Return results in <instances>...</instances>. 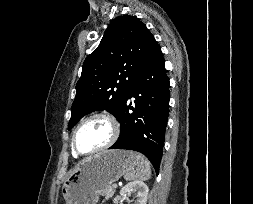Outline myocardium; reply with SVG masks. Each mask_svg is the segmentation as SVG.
Wrapping results in <instances>:
<instances>
[{
    "label": "myocardium",
    "mask_w": 253,
    "mask_h": 204,
    "mask_svg": "<svg viewBox=\"0 0 253 204\" xmlns=\"http://www.w3.org/2000/svg\"><path fill=\"white\" fill-rule=\"evenodd\" d=\"M96 118H101L106 120L111 128H112V134L110 139L108 140L107 143H105L103 146L91 150L89 152H81L76 145V136H77V132L78 130L88 121L96 119ZM120 134V125L118 123V121L111 115L106 114V113H94L91 114L89 116H87L86 118H84L74 129L73 134H72V139H71V145H72V150L73 152L77 155V156H89V155H93L99 152H102L108 148H110L111 146H113L115 144V142L117 141L118 137Z\"/></svg>",
    "instance_id": "myocardium-1"
}]
</instances>
